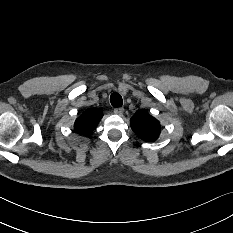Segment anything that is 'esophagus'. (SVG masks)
Segmentation results:
<instances>
[{"label": "esophagus", "instance_id": "esophagus-1", "mask_svg": "<svg viewBox=\"0 0 233 233\" xmlns=\"http://www.w3.org/2000/svg\"><path fill=\"white\" fill-rule=\"evenodd\" d=\"M114 113L118 115H122L124 113V109L119 107L114 109Z\"/></svg>", "mask_w": 233, "mask_h": 233}]
</instances>
